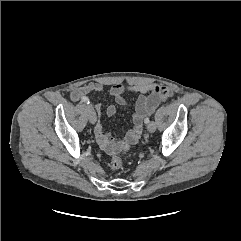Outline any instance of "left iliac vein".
Here are the masks:
<instances>
[{
    "instance_id": "4c4485c4",
    "label": "left iliac vein",
    "mask_w": 241,
    "mask_h": 241,
    "mask_svg": "<svg viewBox=\"0 0 241 241\" xmlns=\"http://www.w3.org/2000/svg\"><path fill=\"white\" fill-rule=\"evenodd\" d=\"M147 130H148L149 132H151V133L155 132V130H156V124H155L154 121H151V122L148 123V125H147Z\"/></svg>"
}]
</instances>
